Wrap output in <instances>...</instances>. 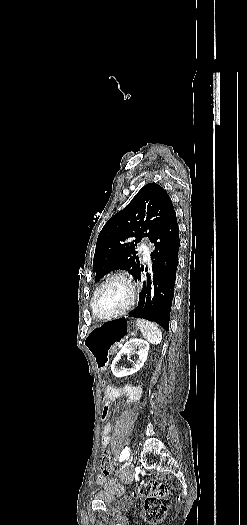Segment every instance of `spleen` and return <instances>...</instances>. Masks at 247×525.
Here are the masks:
<instances>
[{
	"label": "spleen",
	"instance_id": "3e777b00",
	"mask_svg": "<svg viewBox=\"0 0 247 525\" xmlns=\"http://www.w3.org/2000/svg\"><path fill=\"white\" fill-rule=\"evenodd\" d=\"M137 325L149 343H152V345H160L162 343V333L156 323H150V321H145V319H137Z\"/></svg>",
	"mask_w": 247,
	"mask_h": 525
}]
</instances>
